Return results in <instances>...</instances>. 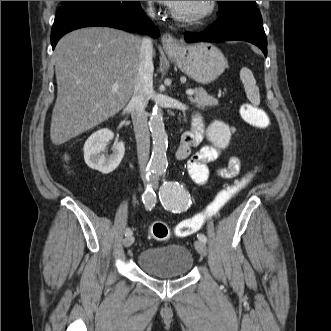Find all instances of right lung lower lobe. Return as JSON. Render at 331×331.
<instances>
[{"label": "right lung lower lobe", "instance_id": "98d812e1", "mask_svg": "<svg viewBox=\"0 0 331 331\" xmlns=\"http://www.w3.org/2000/svg\"><path fill=\"white\" fill-rule=\"evenodd\" d=\"M88 26H106L151 36L159 34L146 18L139 1H81L58 9L51 31L52 48L66 33Z\"/></svg>", "mask_w": 331, "mask_h": 331}]
</instances>
